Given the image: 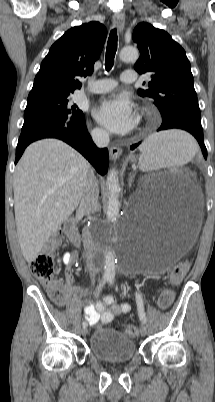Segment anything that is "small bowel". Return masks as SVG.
Listing matches in <instances>:
<instances>
[{
	"label": "small bowel",
	"mask_w": 215,
	"mask_h": 402,
	"mask_svg": "<svg viewBox=\"0 0 215 402\" xmlns=\"http://www.w3.org/2000/svg\"><path fill=\"white\" fill-rule=\"evenodd\" d=\"M62 261L69 267L75 262L74 258L70 255L64 256ZM72 283V271L71 268H69L66 272L65 292L68 295L74 292H80L82 294L88 293L87 289L75 287ZM129 310L130 306L128 304H116L113 296H105L96 303L87 304L84 308V317L91 326L97 325L99 322L107 324L110 323L116 315L127 313Z\"/></svg>",
	"instance_id": "small-bowel-1"
}]
</instances>
